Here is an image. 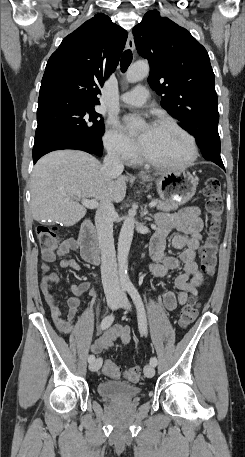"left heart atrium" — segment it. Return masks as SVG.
<instances>
[{"instance_id":"left-heart-atrium-1","label":"left heart atrium","mask_w":245,"mask_h":457,"mask_svg":"<svg viewBox=\"0 0 245 457\" xmlns=\"http://www.w3.org/2000/svg\"><path fill=\"white\" fill-rule=\"evenodd\" d=\"M135 119V116L134 115H129L127 117H125L124 121H125V124L129 125L133 122V120ZM152 130V128H149L144 136V138L146 137V135ZM143 138V139H144ZM143 141V140H142ZM141 142H139L140 144Z\"/></svg>"}]
</instances>
